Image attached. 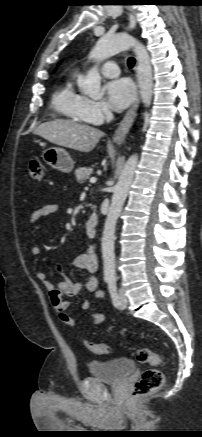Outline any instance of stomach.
I'll return each mask as SVG.
<instances>
[{
	"mask_svg": "<svg viewBox=\"0 0 202 437\" xmlns=\"http://www.w3.org/2000/svg\"><path fill=\"white\" fill-rule=\"evenodd\" d=\"M42 158L52 168L63 173H70L74 168V161L69 153L60 147H50L43 151Z\"/></svg>",
	"mask_w": 202,
	"mask_h": 437,
	"instance_id": "0dacf381",
	"label": "stomach"
}]
</instances>
